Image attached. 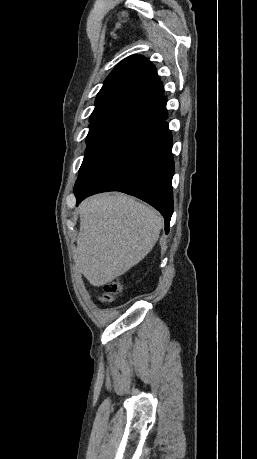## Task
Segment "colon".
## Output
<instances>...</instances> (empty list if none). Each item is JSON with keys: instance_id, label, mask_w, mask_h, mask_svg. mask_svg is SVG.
Segmentation results:
<instances>
[{"instance_id": "colon-1", "label": "colon", "mask_w": 257, "mask_h": 459, "mask_svg": "<svg viewBox=\"0 0 257 459\" xmlns=\"http://www.w3.org/2000/svg\"><path fill=\"white\" fill-rule=\"evenodd\" d=\"M121 291V282L118 279L109 280L102 286V295L100 300L104 303H110L115 296Z\"/></svg>"}]
</instances>
